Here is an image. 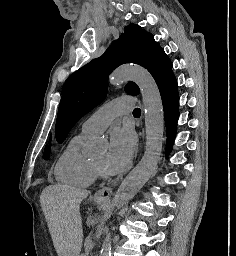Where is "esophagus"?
Wrapping results in <instances>:
<instances>
[{
	"mask_svg": "<svg viewBox=\"0 0 236 256\" xmlns=\"http://www.w3.org/2000/svg\"><path fill=\"white\" fill-rule=\"evenodd\" d=\"M139 136L141 140H143L144 137V131L141 124V130L139 132ZM113 194V188L104 186L103 188H100L96 193L94 194V198L98 200H109Z\"/></svg>",
	"mask_w": 236,
	"mask_h": 256,
	"instance_id": "34e87169",
	"label": "esophagus"
}]
</instances>
